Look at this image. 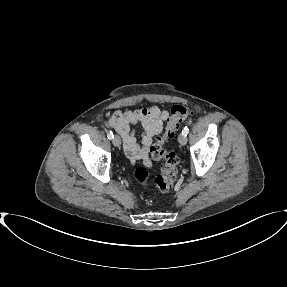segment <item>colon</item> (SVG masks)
<instances>
[{
	"label": "colon",
	"mask_w": 287,
	"mask_h": 287,
	"mask_svg": "<svg viewBox=\"0 0 287 287\" xmlns=\"http://www.w3.org/2000/svg\"><path fill=\"white\" fill-rule=\"evenodd\" d=\"M192 114L189 107L184 105H174L166 119L165 129L155 137L150 151L155 160L162 161L161 173L154 178V186L161 192H168L174 185L177 178L178 155L173 151H168L164 147L165 143L174 137L180 124L187 120ZM150 172L147 166H140L135 171V177L141 184L148 182Z\"/></svg>",
	"instance_id": "1"
}]
</instances>
